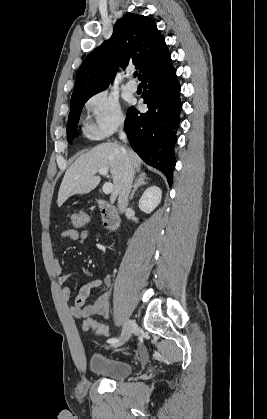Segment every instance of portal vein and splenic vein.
Returning <instances> with one entry per match:
<instances>
[{
  "instance_id": "portal-vein-and-splenic-vein-1",
  "label": "portal vein and splenic vein",
  "mask_w": 267,
  "mask_h": 419,
  "mask_svg": "<svg viewBox=\"0 0 267 419\" xmlns=\"http://www.w3.org/2000/svg\"><path fill=\"white\" fill-rule=\"evenodd\" d=\"M99 174H101V175H107L108 174V168L105 167V168L99 169ZM102 189H103V192L105 194H110L112 192V189H113V184L111 182H106L103 185Z\"/></svg>"
}]
</instances>
